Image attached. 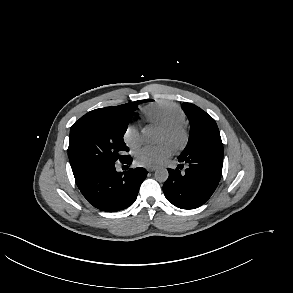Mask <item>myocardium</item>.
Masks as SVG:
<instances>
[{
    "label": "myocardium",
    "instance_id": "obj_1",
    "mask_svg": "<svg viewBox=\"0 0 293 293\" xmlns=\"http://www.w3.org/2000/svg\"><path fill=\"white\" fill-rule=\"evenodd\" d=\"M162 131L169 137L175 150L181 151L187 146L189 142V131L183 122L164 126L162 127Z\"/></svg>",
    "mask_w": 293,
    "mask_h": 293
}]
</instances>
